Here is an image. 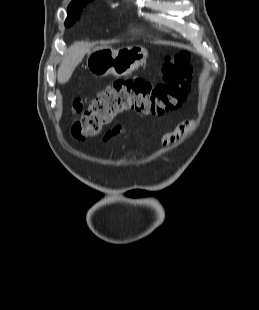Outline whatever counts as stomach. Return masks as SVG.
I'll list each match as a JSON object with an SVG mask.
<instances>
[{
	"mask_svg": "<svg viewBox=\"0 0 259 310\" xmlns=\"http://www.w3.org/2000/svg\"><path fill=\"white\" fill-rule=\"evenodd\" d=\"M148 51L141 46L122 47L118 50L112 47H98L89 53L87 68L97 76L114 75L127 76L146 63Z\"/></svg>",
	"mask_w": 259,
	"mask_h": 310,
	"instance_id": "1",
	"label": "stomach"
}]
</instances>
